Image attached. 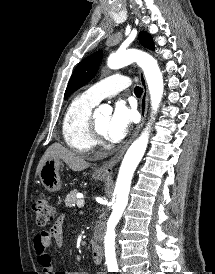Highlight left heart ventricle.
Here are the masks:
<instances>
[{"mask_svg": "<svg viewBox=\"0 0 215 274\" xmlns=\"http://www.w3.org/2000/svg\"><path fill=\"white\" fill-rule=\"evenodd\" d=\"M108 115H97L94 117L96 125L102 134H105V130L109 121Z\"/></svg>", "mask_w": 215, "mask_h": 274, "instance_id": "obj_1", "label": "left heart ventricle"}]
</instances>
